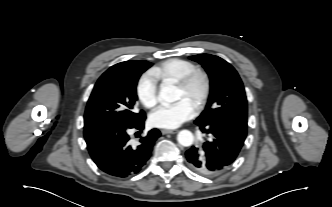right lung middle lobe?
<instances>
[{"mask_svg": "<svg viewBox=\"0 0 332 207\" xmlns=\"http://www.w3.org/2000/svg\"><path fill=\"white\" fill-rule=\"evenodd\" d=\"M152 63L130 60L110 67L97 81L84 115V129L100 125H129L145 116L134 109L136 86Z\"/></svg>", "mask_w": 332, "mask_h": 207, "instance_id": "obj_1", "label": "right lung middle lobe"}]
</instances>
